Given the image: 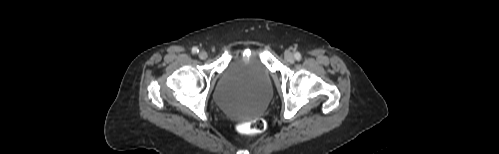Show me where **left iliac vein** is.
<instances>
[{"mask_svg":"<svg viewBox=\"0 0 499 154\" xmlns=\"http://www.w3.org/2000/svg\"><path fill=\"white\" fill-rule=\"evenodd\" d=\"M285 59L288 61V62H294L295 58H294V55L290 52V51H287L285 53Z\"/></svg>","mask_w":499,"mask_h":154,"instance_id":"4c4485c4","label":"left iliac vein"}]
</instances>
